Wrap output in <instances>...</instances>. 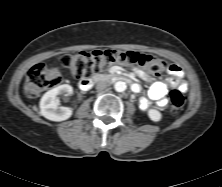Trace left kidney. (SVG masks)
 Here are the masks:
<instances>
[{
	"label": "left kidney",
	"mask_w": 222,
	"mask_h": 187,
	"mask_svg": "<svg viewBox=\"0 0 222 187\" xmlns=\"http://www.w3.org/2000/svg\"><path fill=\"white\" fill-rule=\"evenodd\" d=\"M148 116L154 122H159L161 120V113L156 109H150L148 111Z\"/></svg>",
	"instance_id": "obj_1"
}]
</instances>
